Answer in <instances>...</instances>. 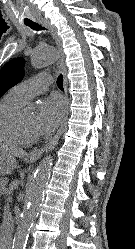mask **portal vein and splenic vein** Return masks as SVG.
<instances>
[{"instance_id": "obj_1", "label": "portal vein and splenic vein", "mask_w": 135, "mask_h": 249, "mask_svg": "<svg viewBox=\"0 0 135 249\" xmlns=\"http://www.w3.org/2000/svg\"><path fill=\"white\" fill-rule=\"evenodd\" d=\"M9 201H10V202L12 201V197H9Z\"/></svg>"}]
</instances>
